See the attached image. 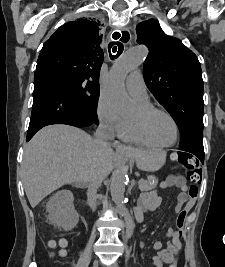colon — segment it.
Wrapping results in <instances>:
<instances>
[{"instance_id": "colon-1", "label": "colon", "mask_w": 225, "mask_h": 267, "mask_svg": "<svg viewBox=\"0 0 225 267\" xmlns=\"http://www.w3.org/2000/svg\"><path fill=\"white\" fill-rule=\"evenodd\" d=\"M173 161L179 163L187 171V178L190 182L188 189V200L185 205L178 211L176 225L178 228L179 236L183 235V227L188 216V213L192 209L198 194L199 186L203 180V169L199 160L191 153L184 151H177L171 155ZM49 247L59 248L57 254L63 256L65 254V242L63 240H50L48 242ZM178 252L176 253V256ZM170 267H177V258L170 264Z\"/></svg>"}]
</instances>
